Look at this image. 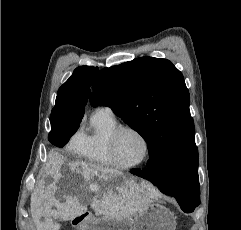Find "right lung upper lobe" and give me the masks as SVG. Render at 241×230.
Returning a JSON list of instances; mask_svg holds the SVG:
<instances>
[{
	"label": "right lung upper lobe",
	"instance_id": "1",
	"mask_svg": "<svg viewBox=\"0 0 241 230\" xmlns=\"http://www.w3.org/2000/svg\"><path fill=\"white\" fill-rule=\"evenodd\" d=\"M98 71L97 67L81 66L59 88L55 107L50 121H69L80 123L90 94L91 83Z\"/></svg>",
	"mask_w": 241,
	"mask_h": 230
}]
</instances>
